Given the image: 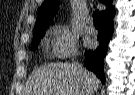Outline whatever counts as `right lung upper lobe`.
<instances>
[{"label": "right lung upper lobe", "instance_id": "cb5924a9", "mask_svg": "<svg viewBox=\"0 0 135 95\" xmlns=\"http://www.w3.org/2000/svg\"><path fill=\"white\" fill-rule=\"evenodd\" d=\"M101 3H104L107 6L106 11L101 12V19L104 17H113L114 16V8L112 6V0H100ZM59 0H45L41 5L36 23H35V32L46 31L48 24L54 17L56 10L58 8Z\"/></svg>", "mask_w": 135, "mask_h": 95}]
</instances>
